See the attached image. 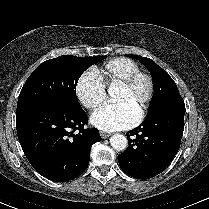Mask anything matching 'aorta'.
<instances>
[{
    "label": "aorta",
    "instance_id": "aorta-1",
    "mask_svg": "<svg viewBox=\"0 0 209 209\" xmlns=\"http://www.w3.org/2000/svg\"><path fill=\"white\" fill-rule=\"evenodd\" d=\"M111 146L117 151H123L127 148V138L122 134H114L110 138Z\"/></svg>",
    "mask_w": 209,
    "mask_h": 209
}]
</instances>
